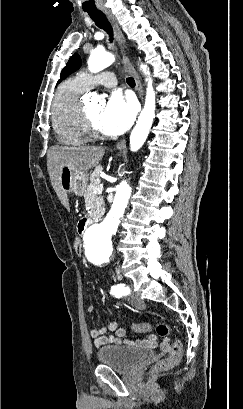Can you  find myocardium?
Returning a JSON list of instances; mask_svg holds the SVG:
<instances>
[{
  "instance_id": "obj_1",
  "label": "myocardium",
  "mask_w": 243,
  "mask_h": 409,
  "mask_svg": "<svg viewBox=\"0 0 243 409\" xmlns=\"http://www.w3.org/2000/svg\"><path fill=\"white\" fill-rule=\"evenodd\" d=\"M83 119L87 132L94 137L98 136L99 129L91 119L90 115L88 114L87 108L85 107H83Z\"/></svg>"
}]
</instances>
